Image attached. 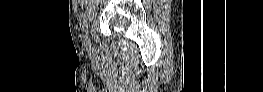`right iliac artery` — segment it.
Wrapping results in <instances>:
<instances>
[{"mask_svg": "<svg viewBox=\"0 0 263 92\" xmlns=\"http://www.w3.org/2000/svg\"><path fill=\"white\" fill-rule=\"evenodd\" d=\"M83 37H84V44H85L86 48H88V47L90 48L91 44H90V39L88 37V32L87 31H85Z\"/></svg>", "mask_w": 263, "mask_h": 92, "instance_id": "right-iliac-artery-1", "label": "right iliac artery"}]
</instances>
